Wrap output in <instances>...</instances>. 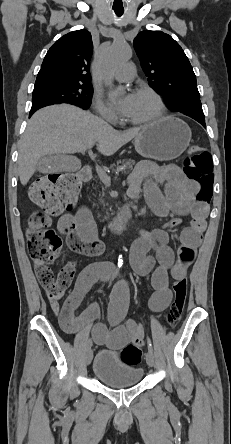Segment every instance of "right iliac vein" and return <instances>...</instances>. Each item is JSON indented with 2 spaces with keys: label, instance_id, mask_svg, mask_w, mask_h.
I'll return each instance as SVG.
<instances>
[{
  "label": "right iliac vein",
  "instance_id": "right-iliac-vein-1",
  "mask_svg": "<svg viewBox=\"0 0 231 444\" xmlns=\"http://www.w3.org/2000/svg\"><path fill=\"white\" fill-rule=\"evenodd\" d=\"M93 359V351L91 349H88L86 353V363L89 365Z\"/></svg>",
  "mask_w": 231,
  "mask_h": 444
}]
</instances>
